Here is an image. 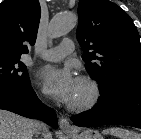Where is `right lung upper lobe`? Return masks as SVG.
Here are the masks:
<instances>
[{"mask_svg": "<svg viewBox=\"0 0 141 139\" xmlns=\"http://www.w3.org/2000/svg\"><path fill=\"white\" fill-rule=\"evenodd\" d=\"M41 9L38 0H5L0 4V57H21L34 45Z\"/></svg>", "mask_w": 141, "mask_h": 139, "instance_id": "right-lung-upper-lobe-1", "label": "right lung upper lobe"}]
</instances>
